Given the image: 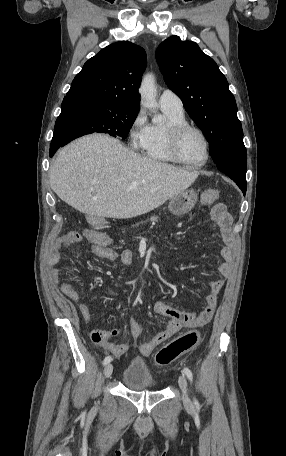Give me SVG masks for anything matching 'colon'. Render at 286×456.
Wrapping results in <instances>:
<instances>
[{
    "instance_id": "colon-1",
    "label": "colon",
    "mask_w": 286,
    "mask_h": 456,
    "mask_svg": "<svg viewBox=\"0 0 286 456\" xmlns=\"http://www.w3.org/2000/svg\"><path fill=\"white\" fill-rule=\"evenodd\" d=\"M219 197V192L215 189H210L202 194L201 201L203 204H211ZM79 235L78 232L75 233ZM200 343V334L197 331H190L178 336L166 346L161 348L155 355V361L160 366H167L174 362L181 355L191 351ZM148 351L147 347L143 348V352Z\"/></svg>"
}]
</instances>
